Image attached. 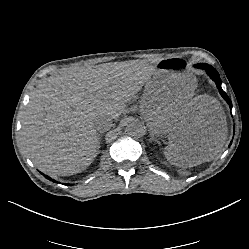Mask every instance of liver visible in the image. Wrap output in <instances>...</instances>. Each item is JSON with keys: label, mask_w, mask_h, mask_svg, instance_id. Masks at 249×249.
<instances>
[{"label": "liver", "mask_w": 249, "mask_h": 249, "mask_svg": "<svg viewBox=\"0 0 249 249\" xmlns=\"http://www.w3.org/2000/svg\"><path fill=\"white\" fill-rule=\"evenodd\" d=\"M155 68L103 64L72 67L37 84L22 116V142L34 165L55 175L82 172L94 161L100 138L96 119L117 120L150 81ZM150 133L166 137L179 167L210 161L222 151L227 124L214 97L172 100L163 89L142 95L137 109Z\"/></svg>", "instance_id": "1"}]
</instances>
